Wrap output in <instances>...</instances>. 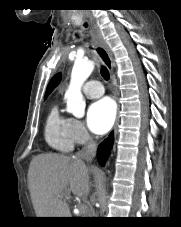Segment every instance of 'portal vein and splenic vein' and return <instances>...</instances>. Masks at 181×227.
<instances>
[{"label":"portal vein and splenic vein","mask_w":181,"mask_h":227,"mask_svg":"<svg viewBox=\"0 0 181 227\" xmlns=\"http://www.w3.org/2000/svg\"><path fill=\"white\" fill-rule=\"evenodd\" d=\"M80 209H81L83 212H85L86 209H87V206H86V205H81Z\"/></svg>","instance_id":"obj_1"}]
</instances>
